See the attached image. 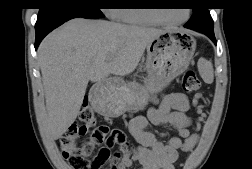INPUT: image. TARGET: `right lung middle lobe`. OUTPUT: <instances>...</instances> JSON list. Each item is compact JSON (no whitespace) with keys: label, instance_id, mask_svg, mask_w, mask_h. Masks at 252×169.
<instances>
[{"label":"right lung middle lobe","instance_id":"right-lung-middle-lobe-1","mask_svg":"<svg viewBox=\"0 0 252 169\" xmlns=\"http://www.w3.org/2000/svg\"><path fill=\"white\" fill-rule=\"evenodd\" d=\"M102 0H43L37 20L46 18L53 14L66 12H80L93 17L102 18Z\"/></svg>","mask_w":252,"mask_h":169}]
</instances>
